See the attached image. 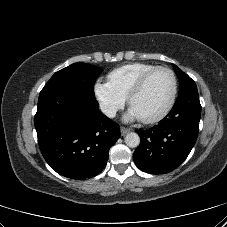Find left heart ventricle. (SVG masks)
Returning <instances> with one entry per match:
<instances>
[{
  "instance_id": "1",
  "label": "left heart ventricle",
  "mask_w": 227,
  "mask_h": 227,
  "mask_svg": "<svg viewBox=\"0 0 227 227\" xmlns=\"http://www.w3.org/2000/svg\"><path fill=\"white\" fill-rule=\"evenodd\" d=\"M172 91V79L165 70L155 72L143 89L133 98L131 108L140 119L159 113L168 103Z\"/></svg>"
}]
</instances>
